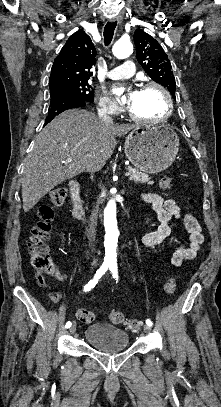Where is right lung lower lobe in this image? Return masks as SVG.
<instances>
[{
  "label": "right lung lower lobe",
  "mask_w": 221,
  "mask_h": 407,
  "mask_svg": "<svg viewBox=\"0 0 221 407\" xmlns=\"http://www.w3.org/2000/svg\"><path fill=\"white\" fill-rule=\"evenodd\" d=\"M86 103L88 102L85 100L72 98L51 102L45 124L50 122L56 115L60 114L61 112L67 109L84 107Z\"/></svg>",
  "instance_id": "right-lung-lower-lobe-1"
}]
</instances>
